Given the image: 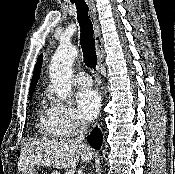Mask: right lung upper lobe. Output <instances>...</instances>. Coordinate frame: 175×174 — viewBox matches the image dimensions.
<instances>
[{
	"label": "right lung upper lobe",
	"instance_id": "1",
	"mask_svg": "<svg viewBox=\"0 0 175 174\" xmlns=\"http://www.w3.org/2000/svg\"><path fill=\"white\" fill-rule=\"evenodd\" d=\"M42 61H43V56L40 55L36 65H35V68H34L33 77H32L31 85H30V94H32L34 92L35 86L38 82L40 71H41V66H42Z\"/></svg>",
	"mask_w": 175,
	"mask_h": 174
}]
</instances>
